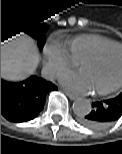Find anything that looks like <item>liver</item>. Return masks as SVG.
I'll list each match as a JSON object with an SVG mask.
<instances>
[{"mask_svg": "<svg viewBox=\"0 0 122 154\" xmlns=\"http://www.w3.org/2000/svg\"><path fill=\"white\" fill-rule=\"evenodd\" d=\"M39 60L38 48L29 37L17 34L1 41V78L23 80L35 72Z\"/></svg>", "mask_w": 122, "mask_h": 154, "instance_id": "6515ba94", "label": "liver"}]
</instances>
